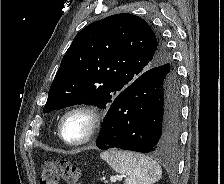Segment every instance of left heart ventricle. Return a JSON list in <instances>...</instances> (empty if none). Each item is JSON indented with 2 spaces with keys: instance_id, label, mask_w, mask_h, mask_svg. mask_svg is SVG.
I'll return each instance as SVG.
<instances>
[{
  "instance_id": "left-heart-ventricle-1",
  "label": "left heart ventricle",
  "mask_w": 224,
  "mask_h": 184,
  "mask_svg": "<svg viewBox=\"0 0 224 184\" xmlns=\"http://www.w3.org/2000/svg\"><path fill=\"white\" fill-rule=\"evenodd\" d=\"M88 126L89 120L86 115L73 114L65 121L63 134L68 140L77 141L86 134Z\"/></svg>"
}]
</instances>
